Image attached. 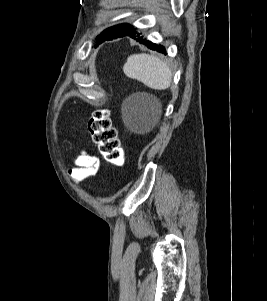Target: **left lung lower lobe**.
<instances>
[{"label": "left lung lower lobe", "mask_w": 267, "mask_h": 301, "mask_svg": "<svg viewBox=\"0 0 267 301\" xmlns=\"http://www.w3.org/2000/svg\"><path fill=\"white\" fill-rule=\"evenodd\" d=\"M124 36H129V37L135 39L136 41H139L140 43L145 44L146 46H148L152 50H156V51L161 52V53L165 52V48L163 46L153 44L150 41H145V39L143 38V36H141V34L138 33L135 28H133L132 30L128 31L127 33H122V34H117V35H111L109 38H106L103 42L108 41V40H112V39H116L118 37H124Z\"/></svg>", "instance_id": "obj_1"}]
</instances>
